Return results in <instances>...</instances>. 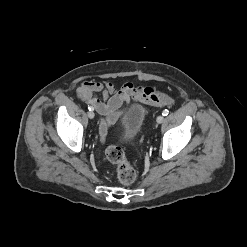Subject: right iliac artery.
Segmentation results:
<instances>
[{
	"label": "right iliac artery",
	"instance_id": "right-iliac-artery-1",
	"mask_svg": "<svg viewBox=\"0 0 247 247\" xmlns=\"http://www.w3.org/2000/svg\"><path fill=\"white\" fill-rule=\"evenodd\" d=\"M88 109L91 111L93 110V107L88 105Z\"/></svg>",
	"mask_w": 247,
	"mask_h": 247
}]
</instances>
